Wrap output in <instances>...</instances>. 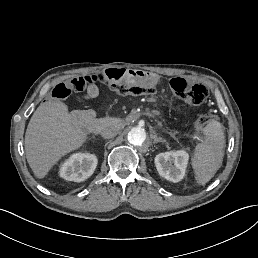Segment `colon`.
I'll use <instances>...</instances> for the list:
<instances>
[{
	"instance_id": "obj_1",
	"label": "colon",
	"mask_w": 258,
	"mask_h": 258,
	"mask_svg": "<svg viewBox=\"0 0 258 258\" xmlns=\"http://www.w3.org/2000/svg\"><path fill=\"white\" fill-rule=\"evenodd\" d=\"M96 83L94 75L78 76L69 81L56 85L52 91V96L57 99L66 98L72 91L82 92L87 90L90 86ZM170 86L175 95L182 101L199 105L202 104L208 96V91L203 84L187 80L184 78L176 77L170 81ZM114 90L120 95H150L153 89L144 85L140 81L130 80L120 84L114 85ZM216 119L213 114H208L200 117L195 125L198 128L203 127L209 122Z\"/></svg>"
}]
</instances>
